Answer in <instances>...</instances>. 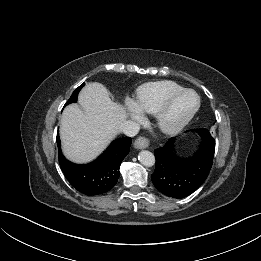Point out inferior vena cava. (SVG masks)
Segmentation results:
<instances>
[{
  "mask_svg": "<svg viewBox=\"0 0 261 261\" xmlns=\"http://www.w3.org/2000/svg\"><path fill=\"white\" fill-rule=\"evenodd\" d=\"M120 130L125 135L132 137L139 132L140 125L135 121L128 120L122 123Z\"/></svg>",
  "mask_w": 261,
  "mask_h": 261,
  "instance_id": "inferior-vena-cava-1",
  "label": "inferior vena cava"
}]
</instances>
